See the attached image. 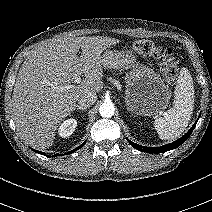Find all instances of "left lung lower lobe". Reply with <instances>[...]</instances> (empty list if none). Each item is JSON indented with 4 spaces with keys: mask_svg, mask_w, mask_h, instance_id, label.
Instances as JSON below:
<instances>
[{
    "mask_svg": "<svg viewBox=\"0 0 212 212\" xmlns=\"http://www.w3.org/2000/svg\"><path fill=\"white\" fill-rule=\"evenodd\" d=\"M197 121L195 122V124L191 127V129L184 136H182L181 138H179L178 140H176V141H174L170 144H167V145H164V146H161V147H147V146L145 147V146H141V145H138L136 143H133L130 140H128V141L133 147H135L136 149L143 151V152H147V153L166 152V151H169V150H172V149L179 147L183 142H185L187 140V138L190 136V134L192 133L193 129L195 128Z\"/></svg>",
    "mask_w": 212,
    "mask_h": 212,
    "instance_id": "1",
    "label": "left lung lower lobe"
}]
</instances>
